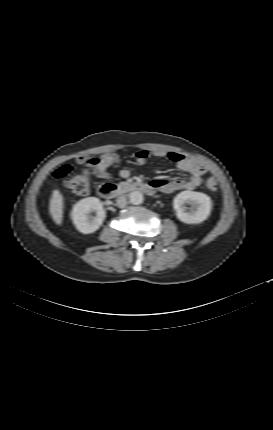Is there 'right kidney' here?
Wrapping results in <instances>:
<instances>
[{
  "instance_id": "obj_1",
  "label": "right kidney",
  "mask_w": 273,
  "mask_h": 430,
  "mask_svg": "<svg viewBox=\"0 0 273 430\" xmlns=\"http://www.w3.org/2000/svg\"><path fill=\"white\" fill-rule=\"evenodd\" d=\"M95 212V216L90 213ZM71 218L76 228L84 234L97 231L105 218V210L101 201L96 197H88L77 202L71 212Z\"/></svg>"
}]
</instances>
